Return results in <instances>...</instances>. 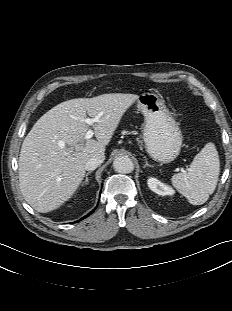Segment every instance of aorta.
<instances>
[{
	"label": "aorta",
	"mask_w": 232,
	"mask_h": 311,
	"mask_svg": "<svg viewBox=\"0 0 232 311\" xmlns=\"http://www.w3.org/2000/svg\"><path fill=\"white\" fill-rule=\"evenodd\" d=\"M113 167L118 173H130L134 170V164L128 156H119L113 161Z\"/></svg>",
	"instance_id": "762f6f07"
}]
</instances>
